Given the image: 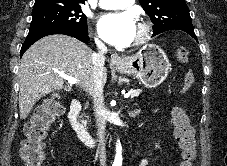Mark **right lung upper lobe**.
I'll return each instance as SVG.
<instances>
[{
	"instance_id": "1",
	"label": "right lung upper lobe",
	"mask_w": 227,
	"mask_h": 166,
	"mask_svg": "<svg viewBox=\"0 0 227 166\" xmlns=\"http://www.w3.org/2000/svg\"><path fill=\"white\" fill-rule=\"evenodd\" d=\"M60 3V4H85V0H35V4Z\"/></svg>"
}]
</instances>
